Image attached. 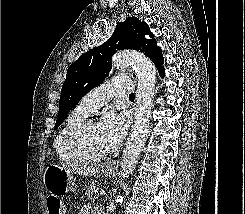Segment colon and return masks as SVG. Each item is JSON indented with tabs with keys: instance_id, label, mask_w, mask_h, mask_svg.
<instances>
[{
	"instance_id": "colon-1",
	"label": "colon",
	"mask_w": 245,
	"mask_h": 214,
	"mask_svg": "<svg viewBox=\"0 0 245 214\" xmlns=\"http://www.w3.org/2000/svg\"><path fill=\"white\" fill-rule=\"evenodd\" d=\"M50 214H62V206L58 199L51 198L48 200Z\"/></svg>"
}]
</instances>
